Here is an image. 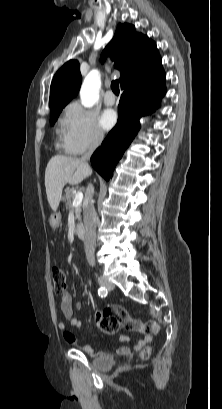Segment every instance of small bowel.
<instances>
[{"instance_id":"c3829d8e","label":"small bowel","mask_w":222,"mask_h":409,"mask_svg":"<svg viewBox=\"0 0 222 409\" xmlns=\"http://www.w3.org/2000/svg\"><path fill=\"white\" fill-rule=\"evenodd\" d=\"M76 308L81 309V305L77 304ZM60 309L65 321L68 322L71 327L79 328L81 326L80 320L74 316L72 296L69 292H65L61 295ZM112 310V319L117 321L119 327L122 326L127 330L136 332H146L143 338L135 343L134 349L136 350H139L144 345L150 343L153 339V336L156 335L160 329L158 323L154 321L142 322L131 319L129 314L121 307H114ZM65 321H59L57 326L63 332L65 342L72 347H78L79 340L72 332L67 330ZM122 339L126 340L127 338L123 337ZM83 350L91 356H98L102 353L94 350L89 346L84 347ZM116 352L120 355H128L130 353V349L126 346H121L117 348Z\"/></svg>"}]
</instances>
